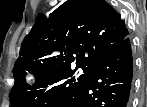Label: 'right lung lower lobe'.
<instances>
[{
    "label": "right lung lower lobe",
    "instance_id": "98d812e1",
    "mask_svg": "<svg viewBox=\"0 0 147 107\" xmlns=\"http://www.w3.org/2000/svg\"><path fill=\"white\" fill-rule=\"evenodd\" d=\"M132 78V49L127 36L87 81L56 107H129Z\"/></svg>",
    "mask_w": 147,
    "mask_h": 107
}]
</instances>
